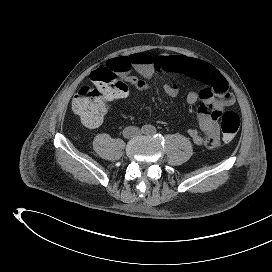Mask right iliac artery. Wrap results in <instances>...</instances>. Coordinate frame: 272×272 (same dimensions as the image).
I'll return each mask as SVG.
<instances>
[{
  "instance_id": "obj_1",
  "label": "right iliac artery",
  "mask_w": 272,
  "mask_h": 272,
  "mask_svg": "<svg viewBox=\"0 0 272 272\" xmlns=\"http://www.w3.org/2000/svg\"><path fill=\"white\" fill-rule=\"evenodd\" d=\"M141 130L143 133H146V132H148L149 128H148V126H143Z\"/></svg>"
}]
</instances>
